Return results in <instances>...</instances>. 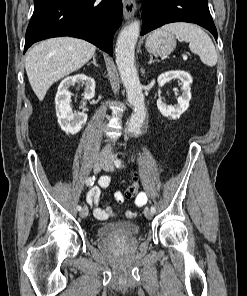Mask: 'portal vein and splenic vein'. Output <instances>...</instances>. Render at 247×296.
Returning a JSON list of instances; mask_svg holds the SVG:
<instances>
[{
	"label": "portal vein and splenic vein",
	"instance_id": "portal-vein-and-splenic-vein-1",
	"mask_svg": "<svg viewBox=\"0 0 247 296\" xmlns=\"http://www.w3.org/2000/svg\"><path fill=\"white\" fill-rule=\"evenodd\" d=\"M183 59H184V60H187V56H186V55H184V56H183Z\"/></svg>",
	"mask_w": 247,
	"mask_h": 296
}]
</instances>
